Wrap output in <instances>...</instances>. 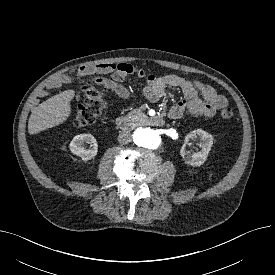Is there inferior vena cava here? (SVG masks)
I'll return each mask as SVG.
<instances>
[{"label": "inferior vena cava", "mask_w": 275, "mask_h": 275, "mask_svg": "<svg viewBox=\"0 0 275 275\" xmlns=\"http://www.w3.org/2000/svg\"><path fill=\"white\" fill-rule=\"evenodd\" d=\"M118 141L122 145L130 143L132 141L131 133L128 131L121 132L118 136Z\"/></svg>", "instance_id": "inferior-vena-cava-1"}]
</instances>
